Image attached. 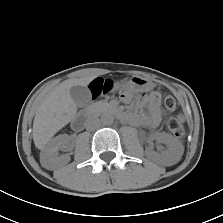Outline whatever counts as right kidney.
Masks as SVG:
<instances>
[{"mask_svg": "<svg viewBox=\"0 0 223 223\" xmlns=\"http://www.w3.org/2000/svg\"><path fill=\"white\" fill-rule=\"evenodd\" d=\"M68 145L69 136L67 134H61L53 138L41 151L40 161L42 166L52 169L57 164H67L70 161V156L68 154L58 155V151Z\"/></svg>", "mask_w": 223, "mask_h": 223, "instance_id": "right-kidney-1", "label": "right kidney"}]
</instances>
